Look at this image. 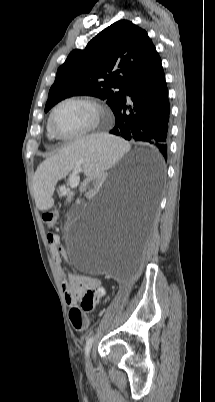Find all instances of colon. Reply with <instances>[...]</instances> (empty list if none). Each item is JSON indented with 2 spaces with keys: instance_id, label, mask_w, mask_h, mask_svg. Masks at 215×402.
Instances as JSON below:
<instances>
[{
  "instance_id": "5ec220e1",
  "label": "colon",
  "mask_w": 215,
  "mask_h": 402,
  "mask_svg": "<svg viewBox=\"0 0 215 402\" xmlns=\"http://www.w3.org/2000/svg\"><path fill=\"white\" fill-rule=\"evenodd\" d=\"M43 219L47 223L48 226H53L57 219L56 211H49L43 214ZM81 306L84 310H92V295L91 293H87L82 299ZM69 318L72 326L77 331H84L88 326V320L82 310L78 307H73L70 309Z\"/></svg>"
}]
</instances>
